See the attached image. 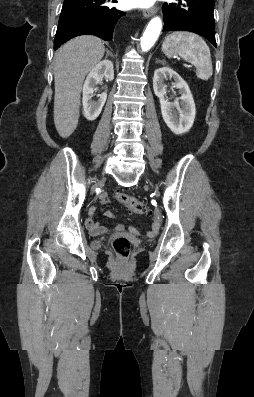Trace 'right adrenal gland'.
<instances>
[{"label": "right adrenal gland", "instance_id": "1", "mask_svg": "<svg viewBox=\"0 0 254 397\" xmlns=\"http://www.w3.org/2000/svg\"><path fill=\"white\" fill-rule=\"evenodd\" d=\"M106 53V57H108V55H111L108 49H106Z\"/></svg>", "mask_w": 254, "mask_h": 397}]
</instances>
